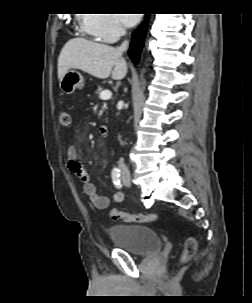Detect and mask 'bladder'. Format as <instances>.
<instances>
[{"instance_id":"1","label":"bladder","mask_w":252,"mask_h":303,"mask_svg":"<svg viewBox=\"0 0 252 303\" xmlns=\"http://www.w3.org/2000/svg\"><path fill=\"white\" fill-rule=\"evenodd\" d=\"M112 242L137 257L161 251V240L151 227L134 224H114L109 227Z\"/></svg>"}]
</instances>
